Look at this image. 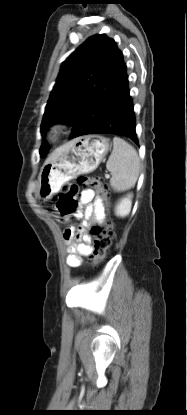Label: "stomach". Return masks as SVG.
Returning a JSON list of instances; mask_svg holds the SVG:
<instances>
[{"instance_id":"1","label":"stomach","mask_w":187,"mask_h":415,"mask_svg":"<svg viewBox=\"0 0 187 415\" xmlns=\"http://www.w3.org/2000/svg\"><path fill=\"white\" fill-rule=\"evenodd\" d=\"M70 144L58 158L41 168L36 192L40 199H50L66 182L95 170L110 150V140L99 135L79 137Z\"/></svg>"}]
</instances>
